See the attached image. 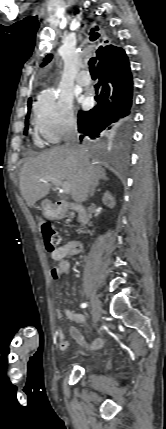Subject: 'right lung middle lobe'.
I'll list each match as a JSON object with an SVG mask.
<instances>
[{"instance_id":"dd1d6c3e","label":"right lung middle lobe","mask_w":166,"mask_h":429,"mask_svg":"<svg viewBox=\"0 0 166 429\" xmlns=\"http://www.w3.org/2000/svg\"><path fill=\"white\" fill-rule=\"evenodd\" d=\"M31 103H32V100H30V101L28 102V114H27V116H26V120H25V131H24V134H26V133H27V130H28V118H29V115H30Z\"/></svg>"}]
</instances>
